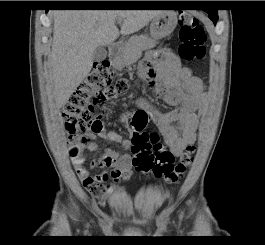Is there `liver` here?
<instances>
[{
  "instance_id": "obj_1",
  "label": "liver",
  "mask_w": 265,
  "mask_h": 245,
  "mask_svg": "<svg viewBox=\"0 0 265 245\" xmlns=\"http://www.w3.org/2000/svg\"><path fill=\"white\" fill-rule=\"evenodd\" d=\"M161 10H59L54 12L52 68L57 108L69 100L92 68L97 47L109 46L122 35L145 27ZM122 20L121 30L115 26Z\"/></svg>"
}]
</instances>
